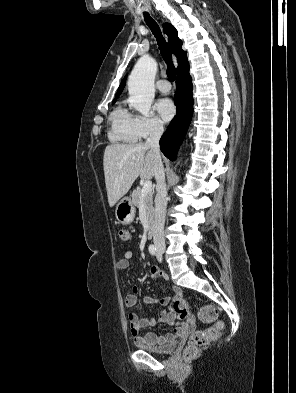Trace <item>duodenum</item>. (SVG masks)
<instances>
[{"instance_id": "obj_1", "label": "duodenum", "mask_w": 296, "mask_h": 393, "mask_svg": "<svg viewBox=\"0 0 296 393\" xmlns=\"http://www.w3.org/2000/svg\"><path fill=\"white\" fill-rule=\"evenodd\" d=\"M154 232H155L154 227H153V226H150V228H149V235H150V236H153V235H154Z\"/></svg>"}]
</instances>
